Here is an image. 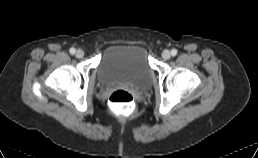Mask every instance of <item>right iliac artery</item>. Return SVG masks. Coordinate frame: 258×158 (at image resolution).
Here are the masks:
<instances>
[{"label":"right iliac artery","instance_id":"82829eb1","mask_svg":"<svg viewBox=\"0 0 258 158\" xmlns=\"http://www.w3.org/2000/svg\"><path fill=\"white\" fill-rule=\"evenodd\" d=\"M69 52H70V54L73 55V54H75L76 50H75V48L72 47V48H70Z\"/></svg>","mask_w":258,"mask_h":158}]
</instances>
